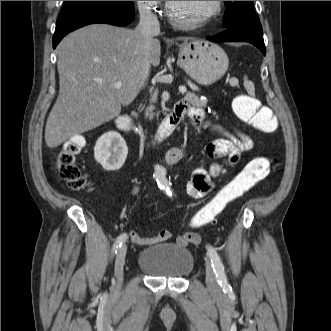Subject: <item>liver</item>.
<instances>
[{
	"mask_svg": "<svg viewBox=\"0 0 331 331\" xmlns=\"http://www.w3.org/2000/svg\"><path fill=\"white\" fill-rule=\"evenodd\" d=\"M160 49L158 39L146 44L139 30L107 24L63 38L57 46L59 95L46 122V145L56 148L117 117L144 85L146 63L159 65Z\"/></svg>",
	"mask_w": 331,
	"mask_h": 331,
	"instance_id": "1",
	"label": "liver"
}]
</instances>
